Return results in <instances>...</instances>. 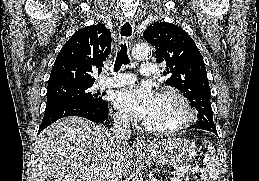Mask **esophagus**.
<instances>
[{
	"label": "esophagus",
	"instance_id": "esophagus-1",
	"mask_svg": "<svg viewBox=\"0 0 259 181\" xmlns=\"http://www.w3.org/2000/svg\"><path fill=\"white\" fill-rule=\"evenodd\" d=\"M134 36V24L130 19H125L119 28V38L121 40H131ZM133 145L137 150H145L146 143L143 138L137 137L133 141Z\"/></svg>",
	"mask_w": 259,
	"mask_h": 181
}]
</instances>
